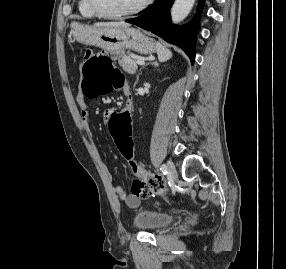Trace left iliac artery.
Masks as SVG:
<instances>
[{
    "mask_svg": "<svg viewBox=\"0 0 286 269\" xmlns=\"http://www.w3.org/2000/svg\"><path fill=\"white\" fill-rule=\"evenodd\" d=\"M160 170L163 174H167V166L165 164L160 167Z\"/></svg>",
    "mask_w": 286,
    "mask_h": 269,
    "instance_id": "1",
    "label": "left iliac artery"
}]
</instances>
